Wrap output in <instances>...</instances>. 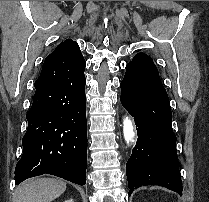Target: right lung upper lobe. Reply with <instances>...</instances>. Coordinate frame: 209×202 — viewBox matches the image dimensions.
I'll list each match as a JSON object with an SVG mask.
<instances>
[{
    "label": "right lung upper lobe",
    "mask_w": 209,
    "mask_h": 202,
    "mask_svg": "<svg viewBox=\"0 0 209 202\" xmlns=\"http://www.w3.org/2000/svg\"><path fill=\"white\" fill-rule=\"evenodd\" d=\"M53 57L63 59L61 63H57L59 65H55L56 70H60L61 73L73 78L84 75L85 60L77 43L71 39L61 42L47 59Z\"/></svg>",
    "instance_id": "obj_1"
}]
</instances>
